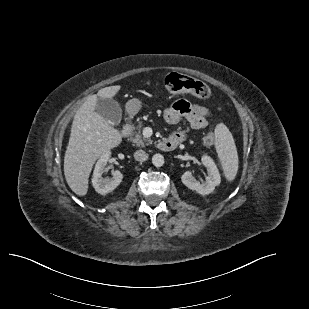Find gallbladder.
<instances>
[{"label": "gallbladder", "mask_w": 309, "mask_h": 309, "mask_svg": "<svg viewBox=\"0 0 309 309\" xmlns=\"http://www.w3.org/2000/svg\"><path fill=\"white\" fill-rule=\"evenodd\" d=\"M96 112L112 125H118L122 118V110L117 101L110 98H98Z\"/></svg>", "instance_id": "obj_1"}]
</instances>
